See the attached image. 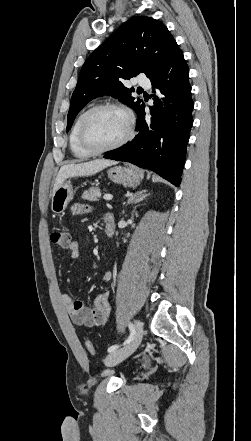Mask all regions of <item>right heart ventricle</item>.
<instances>
[{
  "mask_svg": "<svg viewBox=\"0 0 251 441\" xmlns=\"http://www.w3.org/2000/svg\"><path fill=\"white\" fill-rule=\"evenodd\" d=\"M84 113H81L75 120L73 127L71 129L70 135H69V145L72 155L77 159H87L92 154L86 152L79 144L78 142V130H79V124L81 121V118Z\"/></svg>",
  "mask_w": 251,
  "mask_h": 441,
  "instance_id": "right-heart-ventricle-1",
  "label": "right heart ventricle"
}]
</instances>
